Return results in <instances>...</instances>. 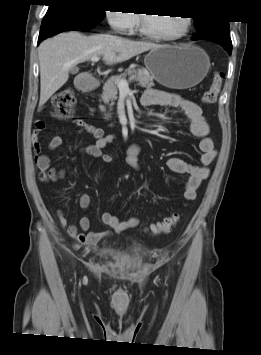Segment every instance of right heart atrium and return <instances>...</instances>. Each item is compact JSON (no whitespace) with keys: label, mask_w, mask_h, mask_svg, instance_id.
Instances as JSON below:
<instances>
[{"label":"right heart atrium","mask_w":261,"mask_h":355,"mask_svg":"<svg viewBox=\"0 0 261 355\" xmlns=\"http://www.w3.org/2000/svg\"><path fill=\"white\" fill-rule=\"evenodd\" d=\"M106 16L110 25L120 33H131L138 24L137 14L128 9L109 11Z\"/></svg>","instance_id":"obj_1"}]
</instances>
